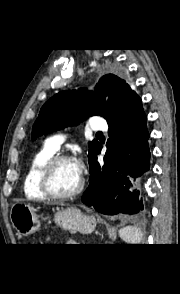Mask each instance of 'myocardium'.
Here are the masks:
<instances>
[{
  "label": "myocardium",
  "instance_id": "obj_1",
  "mask_svg": "<svg viewBox=\"0 0 180 294\" xmlns=\"http://www.w3.org/2000/svg\"><path fill=\"white\" fill-rule=\"evenodd\" d=\"M66 161L73 162V158L68 155H59V154L54 155L52 158H50L46 162V164L42 167L39 173V187L42 193L50 199H54V200L71 199L78 196L84 189L85 181L83 178H81L78 187L69 193L61 194L53 190L51 186V178H52L53 172L60 163L66 162Z\"/></svg>",
  "mask_w": 180,
  "mask_h": 294
}]
</instances>
